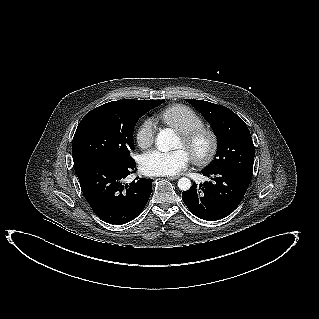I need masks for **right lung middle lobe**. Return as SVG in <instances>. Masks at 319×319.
Segmentation results:
<instances>
[{
  "instance_id": "obj_1",
  "label": "right lung middle lobe",
  "mask_w": 319,
  "mask_h": 319,
  "mask_svg": "<svg viewBox=\"0 0 319 319\" xmlns=\"http://www.w3.org/2000/svg\"><path fill=\"white\" fill-rule=\"evenodd\" d=\"M163 100H119L87 113L72 141L74 169L88 161L110 159L126 163L134 149L133 129L137 120Z\"/></svg>"
}]
</instances>
